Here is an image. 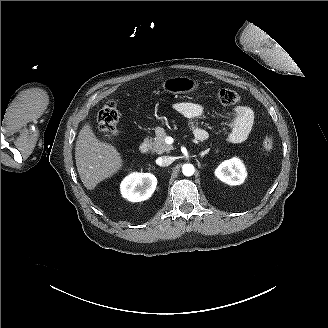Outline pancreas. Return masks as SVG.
<instances>
[{"label": "pancreas", "mask_w": 328, "mask_h": 328, "mask_svg": "<svg viewBox=\"0 0 328 328\" xmlns=\"http://www.w3.org/2000/svg\"><path fill=\"white\" fill-rule=\"evenodd\" d=\"M155 132H156V138L150 144L151 150L159 154H162L164 152L170 153V151L173 150L174 148L173 146L167 145L165 143V138L167 137V133L165 129L162 126H157Z\"/></svg>", "instance_id": "cf45deb5"}]
</instances>
